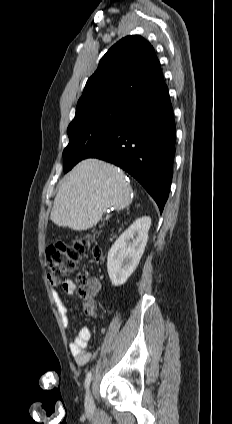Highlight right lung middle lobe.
I'll return each instance as SVG.
<instances>
[{"label": "right lung middle lobe", "instance_id": "obj_1", "mask_svg": "<svg viewBox=\"0 0 232 424\" xmlns=\"http://www.w3.org/2000/svg\"><path fill=\"white\" fill-rule=\"evenodd\" d=\"M131 106L121 103L103 104L76 113L67 129L69 144L63 151L64 172L71 170L124 125Z\"/></svg>", "mask_w": 232, "mask_h": 424}]
</instances>
